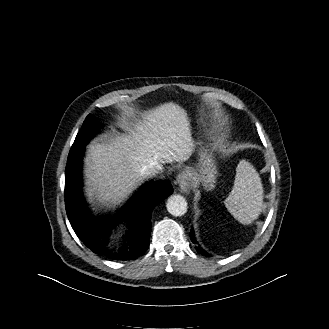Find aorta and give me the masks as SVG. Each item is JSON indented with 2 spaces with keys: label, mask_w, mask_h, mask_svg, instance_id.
<instances>
[{
  "label": "aorta",
  "mask_w": 329,
  "mask_h": 329,
  "mask_svg": "<svg viewBox=\"0 0 329 329\" xmlns=\"http://www.w3.org/2000/svg\"><path fill=\"white\" fill-rule=\"evenodd\" d=\"M167 211L173 216H182L187 212V202L181 195H172L166 203Z\"/></svg>",
  "instance_id": "obj_1"
}]
</instances>
